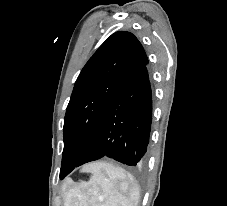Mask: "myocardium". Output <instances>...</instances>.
Here are the masks:
<instances>
[{
	"label": "myocardium",
	"instance_id": "myocardium-1",
	"mask_svg": "<svg viewBox=\"0 0 227 206\" xmlns=\"http://www.w3.org/2000/svg\"><path fill=\"white\" fill-rule=\"evenodd\" d=\"M90 140H91V136H90V135H85V136L81 139V143H82V144H87Z\"/></svg>",
	"mask_w": 227,
	"mask_h": 206
}]
</instances>
